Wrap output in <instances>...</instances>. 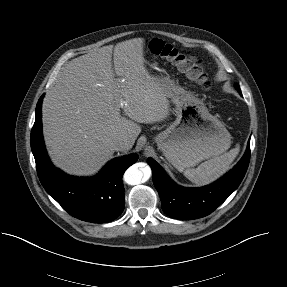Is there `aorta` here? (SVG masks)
Here are the masks:
<instances>
[{
  "label": "aorta",
  "mask_w": 287,
  "mask_h": 287,
  "mask_svg": "<svg viewBox=\"0 0 287 287\" xmlns=\"http://www.w3.org/2000/svg\"><path fill=\"white\" fill-rule=\"evenodd\" d=\"M143 178V171L138 165H132L129 167L123 176L124 181L129 185H138L141 183Z\"/></svg>",
  "instance_id": "1"
}]
</instances>
